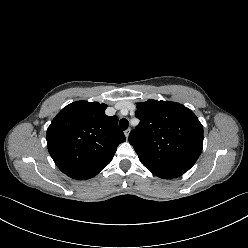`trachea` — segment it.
Masks as SVG:
<instances>
[{
  "mask_svg": "<svg viewBox=\"0 0 248 248\" xmlns=\"http://www.w3.org/2000/svg\"><path fill=\"white\" fill-rule=\"evenodd\" d=\"M119 126L122 130H126L129 126V121L123 118L119 121Z\"/></svg>",
  "mask_w": 248,
  "mask_h": 248,
  "instance_id": "3493384b",
  "label": "trachea"
}]
</instances>
